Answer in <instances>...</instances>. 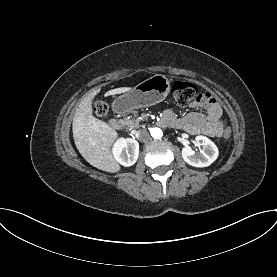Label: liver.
Masks as SVG:
<instances>
[{
    "label": "liver",
    "instance_id": "liver-1",
    "mask_svg": "<svg viewBox=\"0 0 277 277\" xmlns=\"http://www.w3.org/2000/svg\"><path fill=\"white\" fill-rule=\"evenodd\" d=\"M120 87L106 92V96L130 91ZM100 89L91 92L79 103L73 117L72 131L75 145L82 157L92 166L110 173L121 167L113 157L111 147L118 133L106 122L93 116L92 102Z\"/></svg>",
    "mask_w": 277,
    "mask_h": 277
}]
</instances>
